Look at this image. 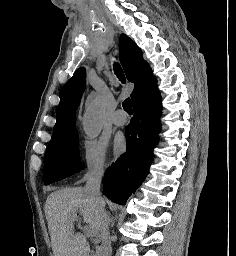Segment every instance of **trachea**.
Segmentation results:
<instances>
[{"mask_svg": "<svg viewBox=\"0 0 236 256\" xmlns=\"http://www.w3.org/2000/svg\"><path fill=\"white\" fill-rule=\"evenodd\" d=\"M114 70L119 80L122 83H125V76L123 70L118 63L114 64ZM122 106L127 113H132V103L130 98H127L125 101H123Z\"/></svg>", "mask_w": 236, "mask_h": 256, "instance_id": "1", "label": "trachea"}]
</instances>
